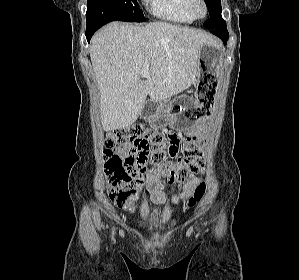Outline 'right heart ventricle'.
<instances>
[{
  "mask_svg": "<svg viewBox=\"0 0 299 280\" xmlns=\"http://www.w3.org/2000/svg\"><path fill=\"white\" fill-rule=\"evenodd\" d=\"M150 12L166 21L192 24L196 18L191 11V0H146Z\"/></svg>",
  "mask_w": 299,
  "mask_h": 280,
  "instance_id": "e07e8e85",
  "label": "right heart ventricle"
}]
</instances>
